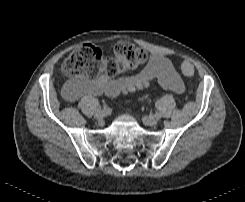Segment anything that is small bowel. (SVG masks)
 <instances>
[{
  "mask_svg": "<svg viewBox=\"0 0 245 202\" xmlns=\"http://www.w3.org/2000/svg\"><path fill=\"white\" fill-rule=\"evenodd\" d=\"M186 62L188 61H182L181 66ZM155 81L167 90L176 93L185 91V85L171 62L156 54L150 57L148 64L141 71L120 80H111L104 74L95 79H77L66 101L69 104H76L84 98L102 94L116 97L127 92L145 89Z\"/></svg>",
  "mask_w": 245,
  "mask_h": 202,
  "instance_id": "obj_1",
  "label": "small bowel"
}]
</instances>
